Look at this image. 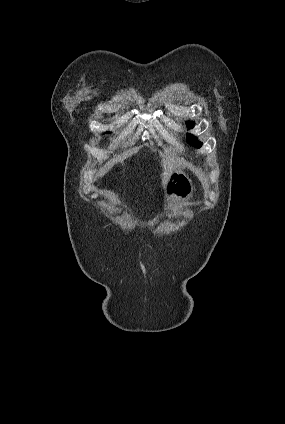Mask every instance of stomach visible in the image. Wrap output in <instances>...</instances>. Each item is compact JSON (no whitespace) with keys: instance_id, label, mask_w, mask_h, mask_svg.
I'll list each match as a JSON object with an SVG mask.
<instances>
[{"instance_id":"0dacf381","label":"stomach","mask_w":285,"mask_h":424,"mask_svg":"<svg viewBox=\"0 0 285 424\" xmlns=\"http://www.w3.org/2000/svg\"><path fill=\"white\" fill-rule=\"evenodd\" d=\"M193 192L194 185L188 175L180 169L174 170L165 185L164 208L187 201Z\"/></svg>"}]
</instances>
